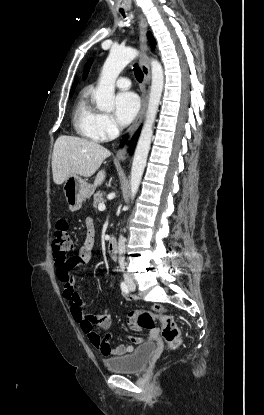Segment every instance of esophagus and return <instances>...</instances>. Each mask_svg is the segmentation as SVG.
I'll return each mask as SVG.
<instances>
[{
    "mask_svg": "<svg viewBox=\"0 0 264 415\" xmlns=\"http://www.w3.org/2000/svg\"><path fill=\"white\" fill-rule=\"evenodd\" d=\"M138 23H139V31H140V52H141V56H140V68L143 72L144 75V88H143V94H142V100H141V108L140 111L138 112L137 116L135 117L132 125L130 126V128L127 131V135L129 137V139H131V137L134 135V133L136 132V130L138 129L142 118L144 116L145 110H146V105H147V95H146V89L145 86L148 84L149 80H150V71L148 68V62H147V38H146V33H147V21L146 19L142 16L139 15L138 16ZM116 159L120 160V161H124L126 159V147H123L121 150H119L117 152L116 155Z\"/></svg>",
    "mask_w": 264,
    "mask_h": 415,
    "instance_id": "34e87169",
    "label": "esophagus"
}]
</instances>
